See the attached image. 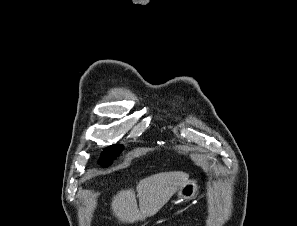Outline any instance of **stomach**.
<instances>
[{"mask_svg":"<svg viewBox=\"0 0 297 226\" xmlns=\"http://www.w3.org/2000/svg\"><path fill=\"white\" fill-rule=\"evenodd\" d=\"M198 193L197 181L189 179L178 191H177V203L185 202L196 197Z\"/></svg>","mask_w":297,"mask_h":226,"instance_id":"1","label":"stomach"}]
</instances>
